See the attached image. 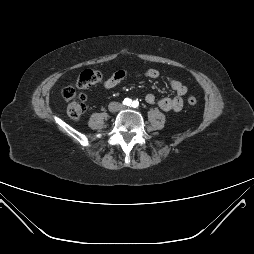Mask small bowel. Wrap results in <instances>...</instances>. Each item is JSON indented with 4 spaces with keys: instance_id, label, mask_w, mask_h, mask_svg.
Returning a JSON list of instances; mask_svg holds the SVG:
<instances>
[{
    "instance_id": "1",
    "label": "small bowel",
    "mask_w": 254,
    "mask_h": 254,
    "mask_svg": "<svg viewBox=\"0 0 254 254\" xmlns=\"http://www.w3.org/2000/svg\"><path fill=\"white\" fill-rule=\"evenodd\" d=\"M128 76H130V72L126 70H118L108 77L103 85L106 89H112ZM144 76L149 79H156L159 77V72L156 69H148L144 72ZM169 86L176 93V96L164 97L156 100L154 94L148 93L145 96V101L149 104L156 103L163 111H180L183 108L182 96L187 93V87L176 78L169 79Z\"/></svg>"
}]
</instances>
